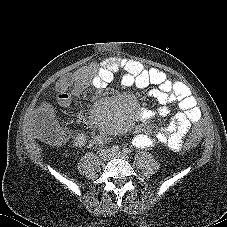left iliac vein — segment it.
I'll return each instance as SVG.
<instances>
[{
  "instance_id": "left-iliac-vein-1",
  "label": "left iliac vein",
  "mask_w": 227,
  "mask_h": 227,
  "mask_svg": "<svg viewBox=\"0 0 227 227\" xmlns=\"http://www.w3.org/2000/svg\"><path fill=\"white\" fill-rule=\"evenodd\" d=\"M110 156L111 157H118V158H122V159H127L128 158L127 153L122 152V151H119V152H116V153H112Z\"/></svg>"
}]
</instances>
